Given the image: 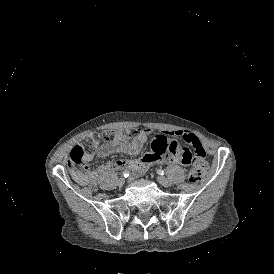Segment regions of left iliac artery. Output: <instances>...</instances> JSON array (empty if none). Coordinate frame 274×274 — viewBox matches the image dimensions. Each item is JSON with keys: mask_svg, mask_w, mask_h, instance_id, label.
I'll list each match as a JSON object with an SVG mask.
<instances>
[{"mask_svg": "<svg viewBox=\"0 0 274 274\" xmlns=\"http://www.w3.org/2000/svg\"><path fill=\"white\" fill-rule=\"evenodd\" d=\"M157 173H158L159 175H164V174H165V171L162 170V169H159V170L157 171Z\"/></svg>", "mask_w": 274, "mask_h": 274, "instance_id": "left-iliac-artery-1", "label": "left iliac artery"}]
</instances>
